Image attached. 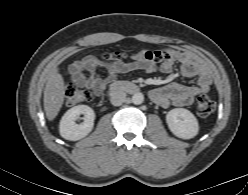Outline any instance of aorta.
<instances>
[{
    "label": "aorta",
    "instance_id": "762f6f07",
    "mask_svg": "<svg viewBox=\"0 0 248 195\" xmlns=\"http://www.w3.org/2000/svg\"><path fill=\"white\" fill-rule=\"evenodd\" d=\"M144 101V95L140 92L138 93H135L133 96H132V103L135 104V105H140L142 104Z\"/></svg>",
    "mask_w": 248,
    "mask_h": 195
}]
</instances>
